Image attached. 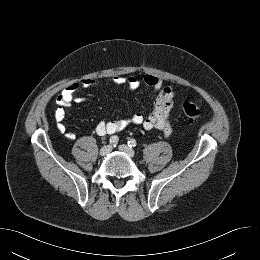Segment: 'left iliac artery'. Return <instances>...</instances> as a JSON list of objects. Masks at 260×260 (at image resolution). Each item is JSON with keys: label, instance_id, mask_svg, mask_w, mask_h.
I'll return each mask as SVG.
<instances>
[{"label": "left iliac artery", "instance_id": "1", "mask_svg": "<svg viewBox=\"0 0 260 260\" xmlns=\"http://www.w3.org/2000/svg\"><path fill=\"white\" fill-rule=\"evenodd\" d=\"M128 146L131 147V148L135 147L136 146V141L134 139H130L128 141Z\"/></svg>", "mask_w": 260, "mask_h": 260}]
</instances>
